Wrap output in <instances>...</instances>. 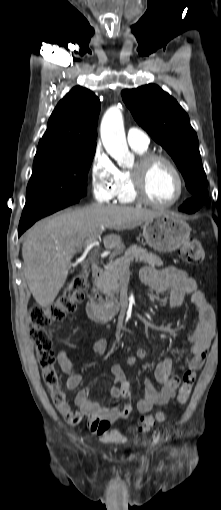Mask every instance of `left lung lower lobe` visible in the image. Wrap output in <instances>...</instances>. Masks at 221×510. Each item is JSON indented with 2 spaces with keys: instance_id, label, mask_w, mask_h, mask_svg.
<instances>
[{
  "instance_id": "obj_1",
  "label": "left lung lower lobe",
  "mask_w": 221,
  "mask_h": 510,
  "mask_svg": "<svg viewBox=\"0 0 221 510\" xmlns=\"http://www.w3.org/2000/svg\"><path fill=\"white\" fill-rule=\"evenodd\" d=\"M200 208V206L193 202L192 200H187L186 202H184V204L180 207V210L181 211H184L186 213H194L195 211H197L198 209ZM215 221L218 222V224H220V220H219V217L218 219L216 217H214Z\"/></svg>"
}]
</instances>
